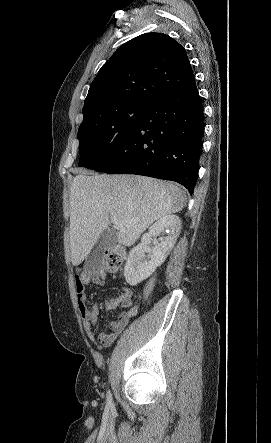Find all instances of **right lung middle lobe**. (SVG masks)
Segmentation results:
<instances>
[{
  "label": "right lung middle lobe",
  "instance_id": "dd1d6c3e",
  "mask_svg": "<svg viewBox=\"0 0 271 443\" xmlns=\"http://www.w3.org/2000/svg\"><path fill=\"white\" fill-rule=\"evenodd\" d=\"M149 102L127 100L103 106L79 127V166L96 169L116 152L149 106Z\"/></svg>",
  "mask_w": 271,
  "mask_h": 443
}]
</instances>
